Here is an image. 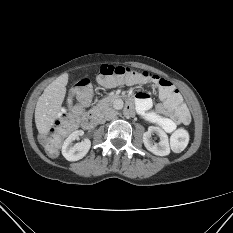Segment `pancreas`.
<instances>
[{"label": "pancreas", "instance_id": "obj_1", "mask_svg": "<svg viewBox=\"0 0 233 233\" xmlns=\"http://www.w3.org/2000/svg\"><path fill=\"white\" fill-rule=\"evenodd\" d=\"M114 98V96L102 98L92 109H90L89 112L93 115H101L105 113Z\"/></svg>", "mask_w": 233, "mask_h": 233}]
</instances>
